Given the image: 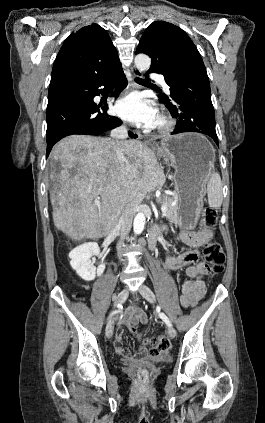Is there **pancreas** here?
Here are the masks:
<instances>
[{
  "instance_id": "1",
  "label": "pancreas",
  "mask_w": 265,
  "mask_h": 423,
  "mask_svg": "<svg viewBox=\"0 0 265 423\" xmlns=\"http://www.w3.org/2000/svg\"><path fill=\"white\" fill-rule=\"evenodd\" d=\"M159 202L162 205L167 206V212L165 213L166 218L170 223L177 222V211H178V196L175 194L173 196L162 195L159 198ZM174 203V204H173Z\"/></svg>"
}]
</instances>
